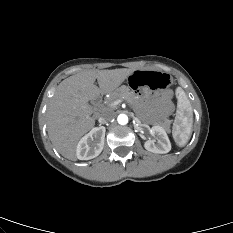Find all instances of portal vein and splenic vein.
Here are the masks:
<instances>
[{
  "label": "portal vein and splenic vein",
  "mask_w": 233,
  "mask_h": 233,
  "mask_svg": "<svg viewBox=\"0 0 233 233\" xmlns=\"http://www.w3.org/2000/svg\"><path fill=\"white\" fill-rule=\"evenodd\" d=\"M120 102H121L120 100H117L112 104V106H115V105L119 104Z\"/></svg>",
  "instance_id": "portal-vein-and-splenic-vein-1"
}]
</instances>
